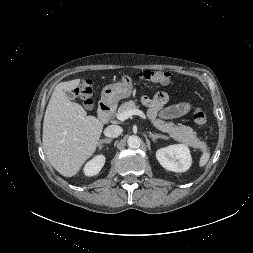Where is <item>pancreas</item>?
<instances>
[{"label": "pancreas", "instance_id": "cf45deb5", "mask_svg": "<svg viewBox=\"0 0 253 253\" xmlns=\"http://www.w3.org/2000/svg\"><path fill=\"white\" fill-rule=\"evenodd\" d=\"M137 109L135 101H128L123 103L116 113V115L132 110ZM153 125L161 130L162 132H166L169 134L170 137L174 138L175 140L185 143L193 148H201L203 142L197 137L196 132L189 126H185L182 124L175 125L173 122H165L161 119L154 118L152 120Z\"/></svg>", "mask_w": 253, "mask_h": 253}]
</instances>
